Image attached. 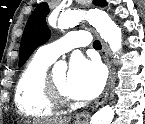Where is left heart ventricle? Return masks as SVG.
<instances>
[{"label":"left heart ventricle","mask_w":145,"mask_h":124,"mask_svg":"<svg viewBox=\"0 0 145 124\" xmlns=\"http://www.w3.org/2000/svg\"><path fill=\"white\" fill-rule=\"evenodd\" d=\"M52 79L57 86V88L65 95L70 96L67 92V72L66 71H57L52 75Z\"/></svg>","instance_id":"left-heart-ventricle-1"}]
</instances>
